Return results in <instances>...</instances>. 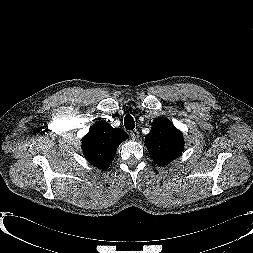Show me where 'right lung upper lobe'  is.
I'll list each match as a JSON object with an SVG mask.
<instances>
[{
    "label": "right lung upper lobe",
    "mask_w": 253,
    "mask_h": 253,
    "mask_svg": "<svg viewBox=\"0 0 253 253\" xmlns=\"http://www.w3.org/2000/svg\"><path fill=\"white\" fill-rule=\"evenodd\" d=\"M127 138L128 134L123 129L112 128L104 121L97 122L82 140L84 155L94 166L106 169L119 144Z\"/></svg>",
    "instance_id": "1"
}]
</instances>
